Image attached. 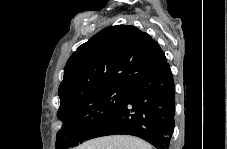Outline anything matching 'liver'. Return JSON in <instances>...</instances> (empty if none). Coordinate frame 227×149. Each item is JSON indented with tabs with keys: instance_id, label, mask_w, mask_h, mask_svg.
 Here are the masks:
<instances>
[{
	"instance_id": "obj_1",
	"label": "liver",
	"mask_w": 227,
	"mask_h": 149,
	"mask_svg": "<svg viewBox=\"0 0 227 149\" xmlns=\"http://www.w3.org/2000/svg\"><path fill=\"white\" fill-rule=\"evenodd\" d=\"M77 149H152V146L137 137L113 135L87 141Z\"/></svg>"
}]
</instances>
